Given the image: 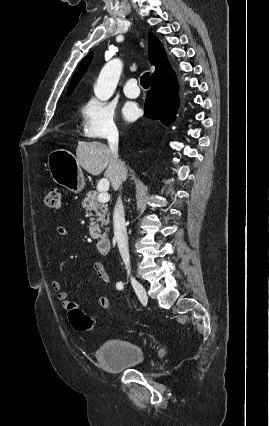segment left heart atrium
<instances>
[{
	"label": "left heart atrium",
	"mask_w": 269,
	"mask_h": 426,
	"mask_svg": "<svg viewBox=\"0 0 269 426\" xmlns=\"http://www.w3.org/2000/svg\"><path fill=\"white\" fill-rule=\"evenodd\" d=\"M140 114L138 105L134 102H127L122 109L123 118L127 121L135 120Z\"/></svg>",
	"instance_id": "39dd6f15"
}]
</instances>
